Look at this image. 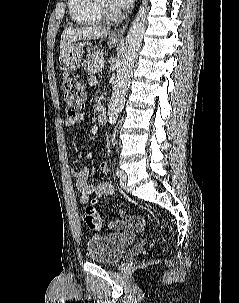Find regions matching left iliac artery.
Masks as SVG:
<instances>
[{
	"mask_svg": "<svg viewBox=\"0 0 239 303\" xmlns=\"http://www.w3.org/2000/svg\"><path fill=\"white\" fill-rule=\"evenodd\" d=\"M116 175L119 176V170H116Z\"/></svg>",
	"mask_w": 239,
	"mask_h": 303,
	"instance_id": "44dca946",
	"label": "left iliac artery"
}]
</instances>
